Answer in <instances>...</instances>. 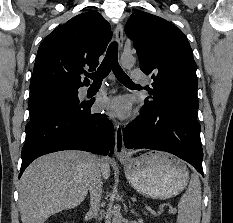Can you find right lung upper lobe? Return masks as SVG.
Returning <instances> with one entry per match:
<instances>
[{
	"label": "right lung upper lobe",
	"mask_w": 233,
	"mask_h": 223,
	"mask_svg": "<svg viewBox=\"0 0 233 223\" xmlns=\"http://www.w3.org/2000/svg\"><path fill=\"white\" fill-rule=\"evenodd\" d=\"M112 36L109 23L96 11L77 15L57 27L40 44L31 94L48 89H72L88 85L81 82L85 68L93 71Z\"/></svg>",
	"instance_id": "cb5924a9"
}]
</instances>
